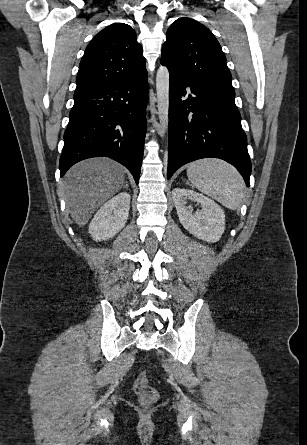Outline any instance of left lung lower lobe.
Instances as JSON below:
<instances>
[{
	"mask_svg": "<svg viewBox=\"0 0 307 445\" xmlns=\"http://www.w3.org/2000/svg\"><path fill=\"white\" fill-rule=\"evenodd\" d=\"M167 178L207 157L234 165L249 186L251 162L241 116L232 98L202 90L170 68ZM187 88H190L187 89Z\"/></svg>",
	"mask_w": 307,
	"mask_h": 445,
	"instance_id": "0a47b994",
	"label": "left lung lower lobe"
}]
</instances>
